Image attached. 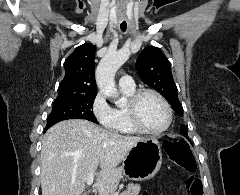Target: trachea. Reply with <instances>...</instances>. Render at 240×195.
Returning <instances> with one entry per match:
<instances>
[{"instance_id": "trachea-1", "label": "trachea", "mask_w": 240, "mask_h": 195, "mask_svg": "<svg viewBox=\"0 0 240 195\" xmlns=\"http://www.w3.org/2000/svg\"><path fill=\"white\" fill-rule=\"evenodd\" d=\"M120 28H121L122 32H125V31H126V28H127V26H126V25H125V26H121Z\"/></svg>"}]
</instances>
